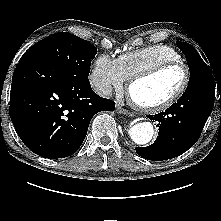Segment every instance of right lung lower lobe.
Returning a JSON list of instances; mask_svg holds the SVG:
<instances>
[{
    "instance_id": "right-lung-lower-lobe-1",
    "label": "right lung lower lobe",
    "mask_w": 221,
    "mask_h": 221,
    "mask_svg": "<svg viewBox=\"0 0 221 221\" xmlns=\"http://www.w3.org/2000/svg\"><path fill=\"white\" fill-rule=\"evenodd\" d=\"M10 100L18 136L32 152L49 159L75 153L92 117L115 109L88 79L31 55H23L14 71Z\"/></svg>"
}]
</instances>
